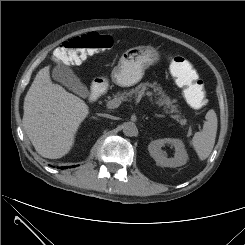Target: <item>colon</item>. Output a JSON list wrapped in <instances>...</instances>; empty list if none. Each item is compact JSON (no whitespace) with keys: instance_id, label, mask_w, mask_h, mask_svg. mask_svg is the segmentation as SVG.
Wrapping results in <instances>:
<instances>
[{"instance_id":"5ec220e1","label":"colon","mask_w":245,"mask_h":245,"mask_svg":"<svg viewBox=\"0 0 245 245\" xmlns=\"http://www.w3.org/2000/svg\"><path fill=\"white\" fill-rule=\"evenodd\" d=\"M111 46L110 36L91 32L64 42L55 50L54 57L64 64H78L88 56L109 49ZM185 65V58L173 57L171 60L172 74L183 87L187 103L193 108H201L206 103V90L203 81L198 77H185L183 75Z\"/></svg>"}]
</instances>
